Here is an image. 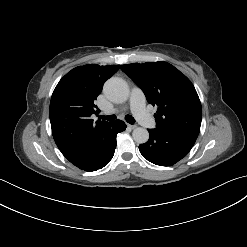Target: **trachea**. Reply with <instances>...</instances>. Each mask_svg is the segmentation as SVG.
I'll list each match as a JSON object with an SVG mask.
<instances>
[{
  "mask_svg": "<svg viewBox=\"0 0 247 247\" xmlns=\"http://www.w3.org/2000/svg\"><path fill=\"white\" fill-rule=\"evenodd\" d=\"M102 119L107 120V121H113L116 119V115H108V116H100ZM125 120L129 123V124H134L135 123V119L131 116V115H126L125 116Z\"/></svg>",
  "mask_w": 247,
  "mask_h": 247,
  "instance_id": "obj_1",
  "label": "trachea"
}]
</instances>
